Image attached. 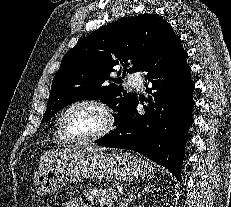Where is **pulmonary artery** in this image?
<instances>
[{"label": "pulmonary artery", "instance_id": "1", "mask_svg": "<svg viewBox=\"0 0 231 207\" xmlns=\"http://www.w3.org/2000/svg\"><path fill=\"white\" fill-rule=\"evenodd\" d=\"M128 83L130 86L142 89L143 87V79L138 73H132L128 76Z\"/></svg>", "mask_w": 231, "mask_h": 207}]
</instances>
